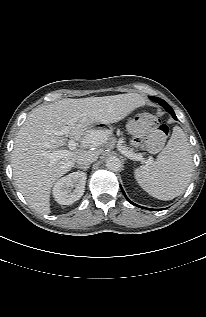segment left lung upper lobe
<instances>
[{
	"label": "left lung upper lobe",
	"mask_w": 206,
	"mask_h": 317,
	"mask_svg": "<svg viewBox=\"0 0 206 317\" xmlns=\"http://www.w3.org/2000/svg\"><path fill=\"white\" fill-rule=\"evenodd\" d=\"M154 101L162 105L170 114H172L173 110L172 108L162 99L158 97H151Z\"/></svg>",
	"instance_id": "1"
}]
</instances>
